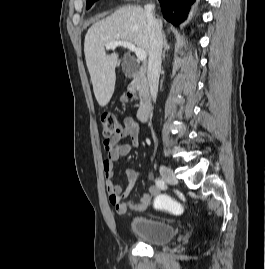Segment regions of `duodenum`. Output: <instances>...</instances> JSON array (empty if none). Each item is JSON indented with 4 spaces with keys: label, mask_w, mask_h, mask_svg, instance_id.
<instances>
[{
    "label": "duodenum",
    "mask_w": 265,
    "mask_h": 269,
    "mask_svg": "<svg viewBox=\"0 0 265 269\" xmlns=\"http://www.w3.org/2000/svg\"><path fill=\"white\" fill-rule=\"evenodd\" d=\"M132 86L137 90L140 99L137 118L139 121L144 122L148 119L152 109L151 94L145 69L138 70L134 73Z\"/></svg>",
    "instance_id": "1"
}]
</instances>
